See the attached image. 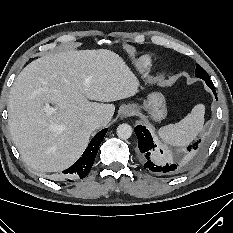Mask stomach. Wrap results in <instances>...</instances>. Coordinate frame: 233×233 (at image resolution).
Returning a JSON list of instances; mask_svg holds the SVG:
<instances>
[{
  "label": "stomach",
  "mask_w": 233,
  "mask_h": 233,
  "mask_svg": "<svg viewBox=\"0 0 233 233\" xmlns=\"http://www.w3.org/2000/svg\"><path fill=\"white\" fill-rule=\"evenodd\" d=\"M144 108L155 121L165 118L167 109L164 95L158 91L150 93L144 102Z\"/></svg>",
  "instance_id": "0dacf381"
}]
</instances>
